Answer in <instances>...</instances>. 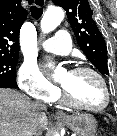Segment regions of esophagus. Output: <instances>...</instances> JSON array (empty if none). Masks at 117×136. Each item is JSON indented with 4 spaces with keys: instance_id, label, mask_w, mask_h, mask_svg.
I'll use <instances>...</instances> for the list:
<instances>
[{
    "instance_id": "1",
    "label": "esophagus",
    "mask_w": 117,
    "mask_h": 136,
    "mask_svg": "<svg viewBox=\"0 0 117 136\" xmlns=\"http://www.w3.org/2000/svg\"><path fill=\"white\" fill-rule=\"evenodd\" d=\"M34 2H35V4H36V2L40 4V5L36 4V6H38V7H43L45 5V0H34ZM55 115L57 118H61V119L67 118V115L62 111H57Z\"/></svg>"
}]
</instances>
